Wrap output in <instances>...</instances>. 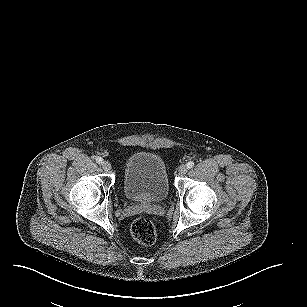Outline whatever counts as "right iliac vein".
I'll return each mask as SVG.
<instances>
[{"label":"right iliac vein","mask_w":307,"mask_h":307,"mask_svg":"<svg viewBox=\"0 0 307 307\" xmlns=\"http://www.w3.org/2000/svg\"><path fill=\"white\" fill-rule=\"evenodd\" d=\"M102 167H103V169L106 170V171H110V170L112 169L111 163L108 162V161H104V162L102 163Z\"/></svg>","instance_id":"1"}]
</instances>
